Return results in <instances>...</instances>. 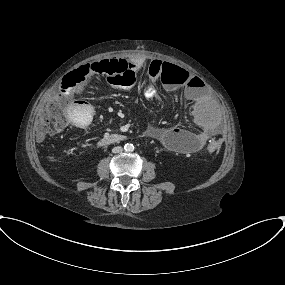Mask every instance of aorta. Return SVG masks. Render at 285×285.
Here are the masks:
<instances>
[{
	"instance_id": "aorta-1",
	"label": "aorta",
	"mask_w": 285,
	"mask_h": 285,
	"mask_svg": "<svg viewBox=\"0 0 285 285\" xmlns=\"http://www.w3.org/2000/svg\"><path fill=\"white\" fill-rule=\"evenodd\" d=\"M124 149L127 152H132L134 150V145L131 144V143H127V144L124 145Z\"/></svg>"
}]
</instances>
